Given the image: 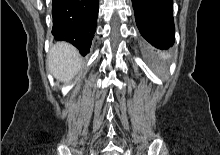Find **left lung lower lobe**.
Segmentation results:
<instances>
[{
  "label": "left lung lower lobe",
  "mask_w": 220,
  "mask_h": 155,
  "mask_svg": "<svg viewBox=\"0 0 220 155\" xmlns=\"http://www.w3.org/2000/svg\"><path fill=\"white\" fill-rule=\"evenodd\" d=\"M137 27L148 46L167 50L175 41L172 0H132Z\"/></svg>",
  "instance_id": "left-lung-lower-lobe-1"
}]
</instances>
